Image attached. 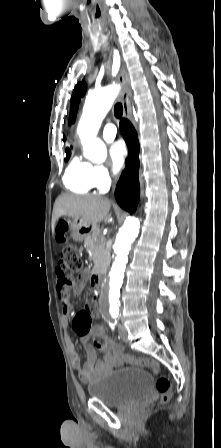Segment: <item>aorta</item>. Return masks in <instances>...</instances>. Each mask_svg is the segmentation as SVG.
<instances>
[{"label": "aorta", "instance_id": "aorta-1", "mask_svg": "<svg viewBox=\"0 0 221 448\" xmlns=\"http://www.w3.org/2000/svg\"><path fill=\"white\" fill-rule=\"evenodd\" d=\"M118 92V86L110 85L90 93L86 98L77 133L83 146L84 156L93 163L100 164L106 160V146L96 138V135ZM139 229V220L129 217L116 235L113 245L116 258L110 271L109 283L104 291L109 303V312L113 315L119 312L120 288L123 283L128 254L132 242L139 234Z\"/></svg>", "mask_w": 221, "mask_h": 448}]
</instances>
